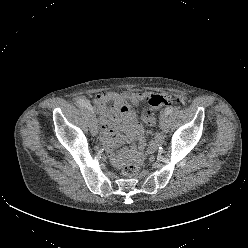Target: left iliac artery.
I'll list each match as a JSON object with an SVG mask.
<instances>
[{"label":"left iliac artery","instance_id":"left-iliac-artery-1","mask_svg":"<svg viewBox=\"0 0 248 248\" xmlns=\"http://www.w3.org/2000/svg\"><path fill=\"white\" fill-rule=\"evenodd\" d=\"M174 108L172 106H169L165 109V112L169 115L173 112Z\"/></svg>","mask_w":248,"mask_h":248}]
</instances>
